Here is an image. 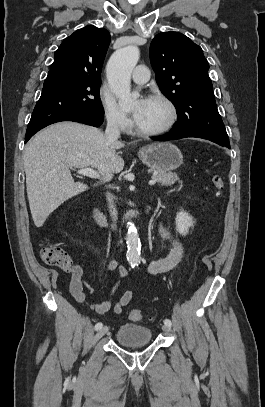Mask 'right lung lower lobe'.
<instances>
[{
	"label": "right lung lower lobe",
	"mask_w": 265,
	"mask_h": 407,
	"mask_svg": "<svg viewBox=\"0 0 265 407\" xmlns=\"http://www.w3.org/2000/svg\"><path fill=\"white\" fill-rule=\"evenodd\" d=\"M60 121H75V122L85 123L87 125H91L94 127H99L103 122V115H98V114H93V113H78V114H73V115H69L66 117H62L47 125H50L55 122H60ZM47 125H45L41 128H38L32 132H26L25 140L28 141L36 132H38L40 129L46 127Z\"/></svg>",
	"instance_id": "obj_1"
}]
</instances>
